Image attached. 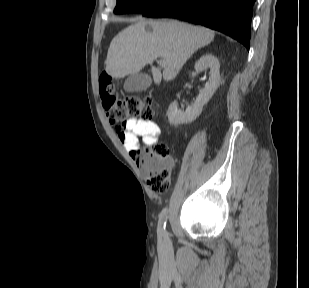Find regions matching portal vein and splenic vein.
<instances>
[{
    "mask_svg": "<svg viewBox=\"0 0 309 288\" xmlns=\"http://www.w3.org/2000/svg\"><path fill=\"white\" fill-rule=\"evenodd\" d=\"M157 62H158V64L160 66H164L165 65V61L163 59H159Z\"/></svg>",
    "mask_w": 309,
    "mask_h": 288,
    "instance_id": "obj_1",
    "label": "portal vein and splenic vein"
}]
</instances>
